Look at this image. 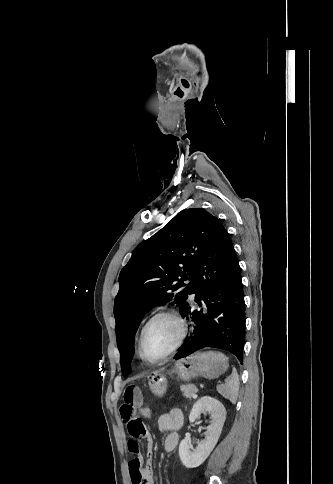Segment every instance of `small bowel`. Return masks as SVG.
Returning <instances> with one entry per match:
<instances>
[{
  "instance_id": "1",
  "label": "small bowel",
  "mask_w": 333,
  "mask_h": 484,
  "mask_svg": "<svg viewBox=\"0 0 333 484\" xmlns=\"http://www.w3.org/2000/svg\"><path fill=\"white\" fill-rule=\"evenodd\" d=\"M143 395L139 387L129 385L123 392V403L119 408L121 420L126 423L131 438L128 441V450L134 455L129 462V472L132 484H155L153 478L152 460L154 456V442L152 435L141 421L138 410L142 407ZM183 413L180 409H172L158 419V428L167 433L164 440V449L173 451L179 443L178 430L183 425ZM144 438L148 442L147 460L144 463L138 439Z\"/></svg>"
}]
</instances>
